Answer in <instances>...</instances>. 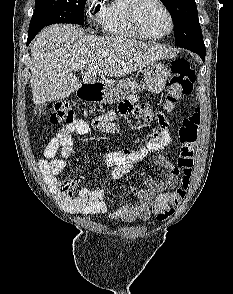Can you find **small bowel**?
<instances>
[{
	"label": "small bowel",
	"instance_id": "small-bowel-1",
	"mask_svg": "<svg viewBox=\"0 0 233 294\" xmlns=\"http://www.w3.org/2000/svg\"><path fill=\"white\" fill-rule=\"evenodd\" d=\"M136 107L129 101H124L119 104L118 113L124 117L133 115L139 119V122H156L158 126L151 133L149 141L137 151L123 149L102 154L101 159L110 169L111 177L114 180H119L128 174L136 162L144 159L150 153L161 151L171 143L168 122L163 114L152 111L148 103H137ZM115 118L116 113L108 112L95 117L91 123L79 119L69 125H64L47 144L44 150L45 158L39 162L40 168L48 177L54 179L65 168L66 159L74 155L72 134L83 136L92 131L114 133L116 131ZM153 162L156 166L167 171L166 178L161 181L147 178L144 181V188L131 187L130 191L136 195L138 202L118 208L111 214L112 217L124 221L148 220L152 214L151 206L156 194L177 186L180 174L179 168L162 154L155 155ZM56 195L63 208L70 213L102 214L107 213L111 207L103 189L83 187L75 196H68L61 191L59 186Z\"/></svg>",
	"mask_w": 233,
	"mask_h": 294
}]
</instances>
